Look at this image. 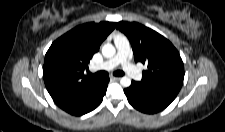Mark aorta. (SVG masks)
Segmentation results:
<instances>
[{
  "mask_svg": "<svg viewBox=\"0 0 225 132\" xmlns=\"http://www.w3.org/2000/svg\"><path fill=\"white\" fill-rule=\"evenodd\" d=\"M115 52V47L110 43H107L102 47V54L105 58L113 57L115 55ZM120 84L123 87H129L131 85V79L127 76H124L120 79Z\"/></svg>",
  "mask_w": 225,
  "mask_h": 132,
  "instance_id": "762f6f07",
  "label": "aorta"
}]
</instances>
